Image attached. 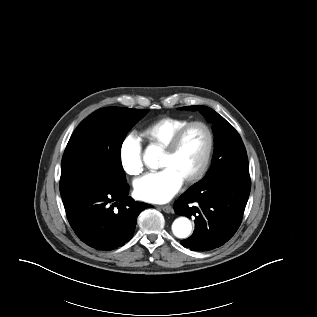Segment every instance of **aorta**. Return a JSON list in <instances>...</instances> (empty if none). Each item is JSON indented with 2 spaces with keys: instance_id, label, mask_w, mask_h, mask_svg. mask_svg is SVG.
<instances>
[{
  "instance_id": "1",
  "label": "aorta",
  "mask_w": 317,
  "mask_h": 317,
  "mask_svg": "<svg viewBox=\"0 0 317 317\" xmlns=\"http://www.w3.org/2000/svg\"><path fill=\"white\" fill-rule=\"evenodd\" d=\"M160 150L156 146H148L143 155V161L147 167L157 169ZM192 230L191 221L187 217H179L172 224V232L177 238L189 237Z\"/></svg>"
}]
</instances>
